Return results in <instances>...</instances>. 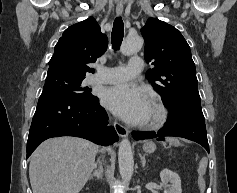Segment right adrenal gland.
<instances>
[{"instance_id":"2a0ac1e0","label":"right adrenal gland","mask_w":237,"mask_h":193,"mask_svg":"<svg viewBox=\"0 0 237 193\" xmlns=\"http://www.w3.org/2000/svg\"><path fill=\"white\" fill-rule=\"evenodd\" d=\"M95 170L94 172L89 176V179H93L94 177H96L97 179H102V166L99 165V167L97 168V165L94 166Z\"/></svg>"}]
</instances>
